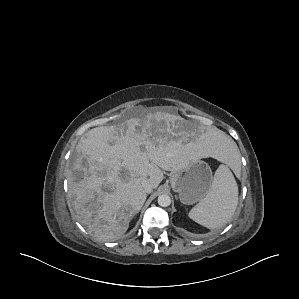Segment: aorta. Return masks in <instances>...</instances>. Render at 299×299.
<instances>
[{
	"instance_id": "obj_1",
	"label": "aorta",
	"mask_w": 299,
	"mask_h": 299,
	"mask_svg": "<svg viewBox=\"0 0 299 299\" xmlns=\"http://www.w3.org/2000/svg\"><path fill=\"white\" fill-rule=\"evenodd\" d=\"M158 204L161 207H168L171 204V198L170 196L166 194L159 195L158 197Z\"/></svg>"
}]
</instances>
